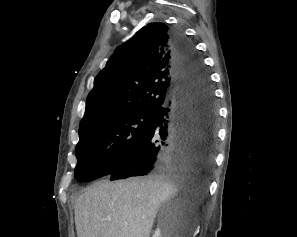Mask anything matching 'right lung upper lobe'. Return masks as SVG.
Segmentation results:
<instances>
[{
	"instance_id": "1",
	"label": "right lung upper lobe",
	"mask_w": 297,
	"mask_h": 237,
	"mask_svg": "<svg viewBox=\"0 0 297 237\" xmlns=\"http://www.w3.org/2000/svg\"><path fill=\"white\" fill-rule=\"evenodd\" d=\"M172 30L150 23L119 46L94 80L79 133L98 121L154 112L179 85L173 73Z\"/></svg>"
}]
</instances>
